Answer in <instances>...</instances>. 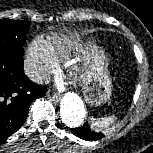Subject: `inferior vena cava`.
I'll list each match as a JSON object with an SVG mask.
<instances>
[{"instance_id": "inferior-vena-cava-1", "label": "inferior vena cava", "mask_w": 153, "mask_h": 153, "mask_svg": "<svg viewBox=\"0 0 153 153\" xmlns=\"http://www.w3.org/2000/svg\"><path fill=\"white\" fill-rule=\"evenodd\" d=\"M25 74L31 81L37 84H48L50 82V76L37 69L26 68Z\"/></svg>"}]
</instances>
